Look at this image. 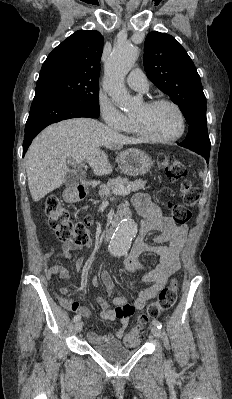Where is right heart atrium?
<instances>
[{"instance_id": "obj_1", "label": "right heart atrium", "mask_w": 232, "mask_h": 399, "mask_svg": "<svg viewBox=\"0 0 232 399\" xmlns=\"http://www.w3.org/2000/svg\"><path fill=\"white\" fill-rule=\"evenodd\" d=\"M99 111L106 125H113V131L122 130L130 122L127 117L111 106L100 105Z\"/></svg>"}]
</instances>
